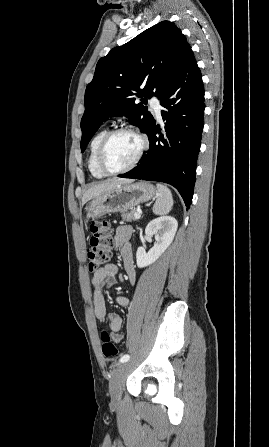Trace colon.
Masks as SVG:
<instances>
[{"label": "colon", "instance_id": "colon-1", "mask_svg": "<svg viewBox=\"0 0 269 447\" xmlns=\"http://www.w3.org/2000/svg\"><path fill=\"white\" fill-rule=\"evenodd\" d=\"M92 248L87 253L89 272H96L105 266L110 259V248L113 244L110 224L105 220H92L89 223ZM101 350L106 358H116L119 354L117 346L111 341L107 330L101 331Z\"/></svg>", "mask_w": 269, "mask_h": 447}]
</instances>
